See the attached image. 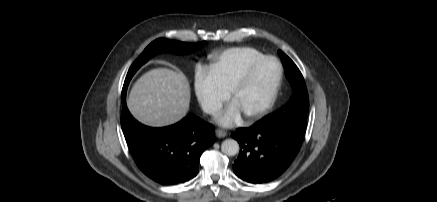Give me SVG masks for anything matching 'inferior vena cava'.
Wrapping results in <instances>:
<instances>
[{
    "instance_id": "1",
    "label": "inferior vena cava",
    "mask_w": 437,
    "mask_h": 202,
    "mask_svg": "<svg viewBox=\"0 0 437 202\" xmlns=\"http://www.w3.org/2000/svg\"><path fill=\"white\" fill-rule=\"evenodd\" d=\"M203 109L208 114H214L219 110V107L213 105H207Z\"/></svg>"
}]
</instances>
